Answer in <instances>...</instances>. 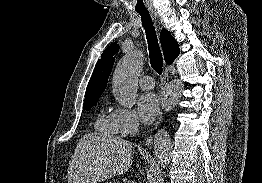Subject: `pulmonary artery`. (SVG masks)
<instances>
[{
  "mask_svg": "<svg viewBox=\"0 0 262 183\" xmlns=\"http://www.w3.org/2000/svg\"><path fill=\"white\" fill-rule=\"evenodd\" d=\"M139 85L144 90H151L154 88V80L151 76H142L139 80Z\"/></svg>",
  "mask_w": 262,
  "mask_h": 183,
  "instance_id": "pulmonary-artery-1",
  "label": "pulmonary artery"
}]
</instances>
